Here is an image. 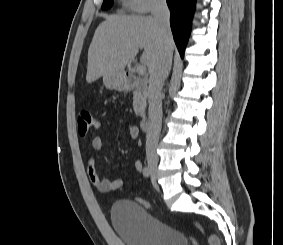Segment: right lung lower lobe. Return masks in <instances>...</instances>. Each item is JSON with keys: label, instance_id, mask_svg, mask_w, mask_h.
<instances>
[{"label": "right lung lower lobe", "instance_id": "obj_1", "mask_svg": "<svg viewBox=\"0 0 283 245\" xmlns=\"http://www.w3.org/2000/svg\"><path fill=\"white\" fill-rule=\"evenodd\" d=\"M195 2L196 0H167L173 37L182 57L191 31Z\"/></svg>", "mask_w": 283, "mask_h": 245}]
</instances>
